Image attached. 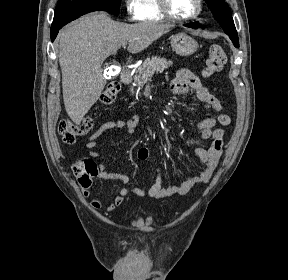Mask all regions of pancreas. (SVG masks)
<instances>
[{
	"label": "pancreas",
	"mask_w": 288,
	"mask_h": 280,
	"mask_svg": "<svg viewBox=\"0 0 288 280\" xmlns=\"http://www.w3.org/2000/svg\"><path fill=\"white\" fill-rule=\"evenodd\" d=\"M172 62L161 57L147 58L144 63L138 67L134 75V83L136 84V98L140 95V90L153 77L155 72H162L164 69L171 66ZM133 87L130 88L132 94H134Z\"/></svg>",
	"instance_id": "obj_1"
}]
</instances>
